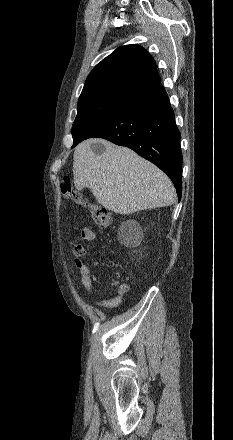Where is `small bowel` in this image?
<instances>
[{"label": "small bowel", "mask_w": 233, "mask_h": 440, "mask_svg": "<svg viewBox=\"0 0 233 440\" xmlns=\"http://www.w3.org/2000/svg\"><path fill=\"white\" fill-rule=\"evenodd\" d=\"M81 238L86 242H92L95 239V233L89 228H84L81 231ZM72 253L75 256L74 264L79 271V279L85 289L90 293H95L94 282L95 278L91 274L90 269L81 262L80 257L87 253L86 246L80 242H76L72 248ZM129 292L127 284H119L115 292L105 294L106 299L96 303L98 308H114L117 307L123 300L124 296Z\"/></svg>", "instance_id": "1"}]
</instances>
